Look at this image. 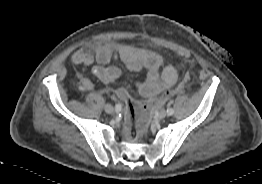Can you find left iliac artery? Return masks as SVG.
I'll use <instances>...</instances> for the list:
<instances>
[{
  "mask_svg": "<svg viewBox=\"0 0 262 184\" xmlns=\"http://www.w3.org/2000/svg\"><path fill=\"white\" fill-rule=\"evenodd\" d=\"M174 114V110L172 108L167 109V115L171 116Z\"/></svg>",
  "mask_w": 262,
  "mask_h": 184,
  "instance_id": "44dca946",
  "label": "left iliac artery"
}]
</instances>
